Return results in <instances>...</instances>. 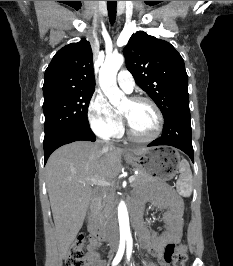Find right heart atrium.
Instances as JSON below:
<instances>
[{
  "label": "right heart atrium",
  "instance_id": "obj_1",
  "mask_svg": "<svg viewBox=\"0 0 233 266\" xmlns=\"http://www.w3.org/2000/svg\"><path fill=\"white\" fill-rule=\"evenodd\" d=\"M87 117L94 133L103 138H117L123 132L120 113L101 92H94L87 109Z\"/></svg>",
  "mask_w": 233,
  "mask_h": 266
}]
</instances>
